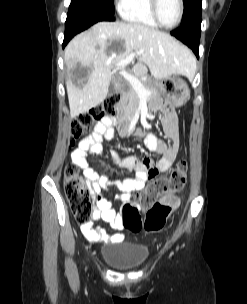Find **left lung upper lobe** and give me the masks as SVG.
<instances>
[{"mask_svg":"<svg viewBox=\"0 0 247 304\" xmlns=\"http://www.w3.org/2000/svg\"><path fill=\"white\" fill-rule=\"evenodd\" d=\"M184 12L181 25H184L194 19L201 18L202 0H183Z\"/></svg>","mask_w":247,"mask_h":304,"instance_id":"left-lung-upper-lobe-1","label":"left lung upper lobe"}]
</instances>
